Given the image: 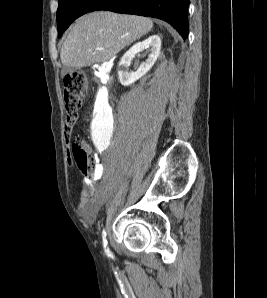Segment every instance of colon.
<instances>
[{
  "mask_svg": "<svg viewBox=\"0 0 267 298\" xmlns=\"http://www.w3.org/2000/svg\"><path fill=\"white\" fill-rule=\"evenodd\" d=\"M87 90L86 76L82 72H74L64 78V101L66 109V133L69 134L75 124L84 95ZM71 158L79 171L91 177L94 173L95 163L87 150L79 143H74L71 148Z\"/></svg>",
  "mask_w": 267,
  "mask_h": 298,
  "instance_id": "colon-1",
  "label": "colon"
}]
</instances>
